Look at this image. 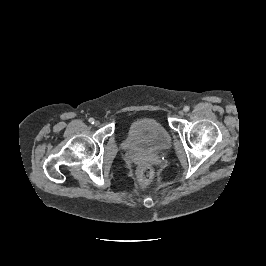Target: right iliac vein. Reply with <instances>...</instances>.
Instances as JSON below:
<instances>
[{
	"mask_svg": "<svg viewBox=\"0 0 266 266\" xmlns=\"http://www.w3.org/2000/svg\"><path fill=\"white\" fill-rule=\"evenodd\" d=\"M100 124L99 121H95V125L98 126Z\"/></svg>",
	"mask_w": 266,
	"mask_h": 266,
	"instance_id": "1",
	"label": "right iliac vein"
}]
</instances>
